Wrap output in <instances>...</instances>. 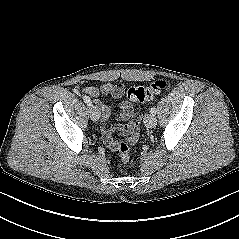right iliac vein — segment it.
<instances>
[{
	"mask_svg": "<svg viewBox=\"0 0 239 239\" xmlns=\"http://www.w3.org/2000/svg\"><path fill=\"white\" fill-rule=\"evenodd\" d=\"M89 113H90V118L92 119V121L96 122V121L99 120L100 112H99V110L95 106L92 105L90 107Z\"/></svg>",
	"mask_w": 239,
	"mask_h": 239,
	"instance_id": "1",
	"label": "right iliac vein"
}]
</instances>
